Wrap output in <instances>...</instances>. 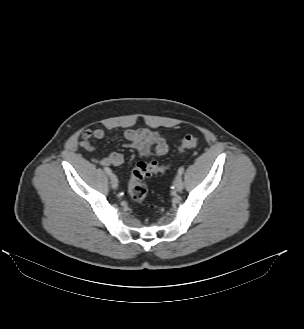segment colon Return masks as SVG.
Returning <instances> with one entry per match:
<instances>
[{
  "label": "colon",
  "instance_id": "obj_1",
  "mask_svg": "<svg viewBox=\"0 0 304 329\" xmlns=\"http://www.w3.org/2000/svg\"><path fill=\"white\" fill-rule=\"evenodd\" d=\"M199 142V137L195 135H186L181 139L177 151L182 153L187 149L197 146ZM169 169V164H160L156 161L138 162L131 172L128 185V194L131 199L137 203L143 202L148 194V188L144 183V179L155 175L165 174Z\"/></svg>",
  "mask_w": 304,
  "mask_h": 329
}]
</instances>
